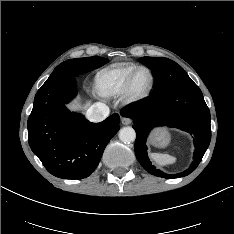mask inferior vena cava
Here are the masks:
<instances>
[{"label":"inferior vena cava","instance_id":"602c4592","mask_svg":"<svg viewBox=\"0 0 234 234\" xmlns=\"http://www.w3.org/2000/svg\"><path fill=\"white\" fill-rule=\"evenodd\" d=\"M109 112V107L106 104L97 102L87 110L86 116L91 122L97 123L105 120Z\"/></svg>","mask_w":234,"mask_h":234}]
</instances>
